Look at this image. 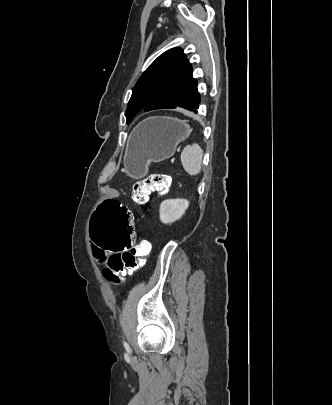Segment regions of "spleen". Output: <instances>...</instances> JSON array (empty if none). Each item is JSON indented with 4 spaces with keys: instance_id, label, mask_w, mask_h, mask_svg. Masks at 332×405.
<instances>
[{
    "instance_id": "1",
    "label": "spleen",
    "mask_w": 332,
    "mask_h": 405,
    "mask_svg": "<svg viewBox=\"0 0 332 405\" xmlns=\"http://www.w3.org/2000/svg\"><path fill=\"white\" fill-rule=\"evenodd\" d=\"M203 150L198 144L187 145L181 153V163L184 170L191 176L200 173Z\"/></svg>"
}]
</instances>
